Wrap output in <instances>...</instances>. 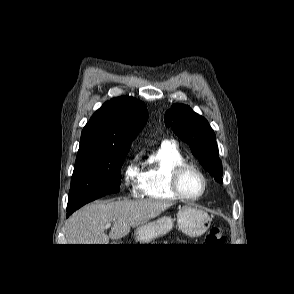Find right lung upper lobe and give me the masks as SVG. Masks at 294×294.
Wrapping results in <instances>:
<instances>
[{
	"label": "right lung upper lobe",
	"instance_id": "1",
	"mask_svg": "<svg viewBox=\"0 0 294 294\" xmlns=\"http://www.w3.org/2000/svg\"><path fill=\"white\" fill-rule=\"evenodd\" d=\"M147 108L136 98L122 96L104 103L85 125L79 149H130L147 121Z\"/></svg>",
	"mask_w": 294,
	"mask_h": 294
}]
</instances>
